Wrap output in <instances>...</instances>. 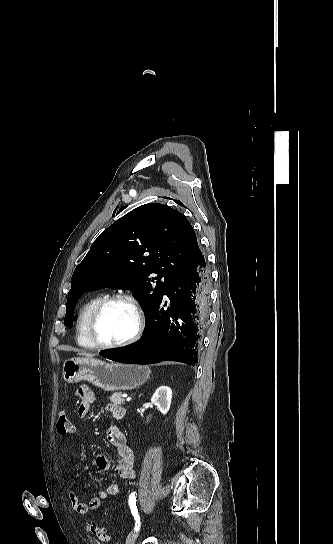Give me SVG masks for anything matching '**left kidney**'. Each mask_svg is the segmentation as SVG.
I'll list each match as a JSON object with an SVG mask.
<instances>
[{"mask_svg":"<svg viewBox=\"0 0 333 544\" xmlns=\"http://www.w3.org/2000/svg\"><path fill=\"white\" fill-rule=\"evenodd\" d=\"M171 401L172 390L168 386H160L151 398V403L154 404L163 415H166L169 411Z\"/></svg>","mask_w":333,"mask_h":544,"instance_id":"obj_1","label":"left kidney"}]
</instances>
